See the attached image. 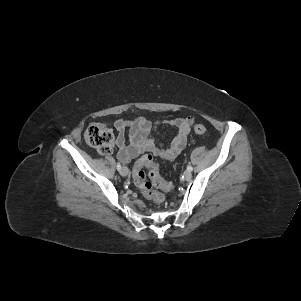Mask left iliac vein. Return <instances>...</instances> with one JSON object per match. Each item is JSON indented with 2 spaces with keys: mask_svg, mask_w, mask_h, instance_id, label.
<instances>
[{
  "mask_svg": "<svg viewBox=\"0 0 301 301\" xmlns=\"http://www.w3.org/2000/svg\"><path fill=\"white\" fill-rule=\"evenodd\" d=\"M184 177H185L186 179H190V178L192 177L191 171L186 170V171L184 172Z\"/></svg>",
  "mask_w": 301,
  "mask_h": 301,
  "instance_id": "1",
  "label": "left iliac vein"
}]
</instances>
